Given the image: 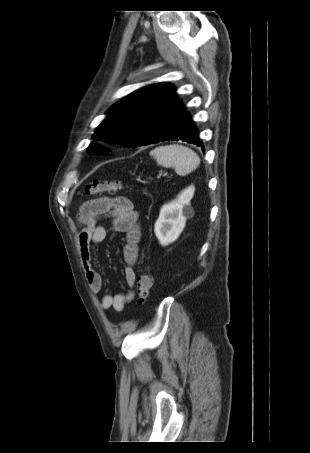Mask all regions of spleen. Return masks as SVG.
I'll return each instance as SVG.
<instances>
[{
    "label": "spleen",
    "instance_id": "1",
    "mask_svg": "<svg viewBox=\"0 0 310 453\" xmlns=\"http://www.w3.org/2000/svg\"><path fill=\"white\" fill-rule=\"evenodd\" d=\"M159 166L174 167L175 172L184 176L194 171L200 164V158L192 149L178 144L159 146L150 152Z\"/></svg>",
    "mask_w": 310,
    "mask_h": 453
}]
</instances>
